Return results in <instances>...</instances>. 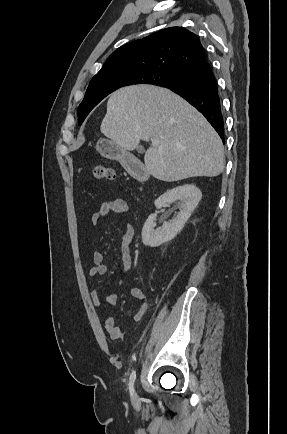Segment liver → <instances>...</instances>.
Masks as SVG:
<instances>
[{"label":"liver","mask_w":287,"mask_h":434,"mask_svg":"<svg viewBox=\"0 0 287 434\" xmlns=\"http://www.w3.org/2000/svg\"><path fill=\"white\" fill-rule=\"evenodd\" d=\"M101 132L126 151L140 140L157 141L145 152L147 171L174 182L216 177L224 169L222 141L205 117L165 88L137 85L111 94Z\"/></svg>","instance_id":"1"}]
</instances>
